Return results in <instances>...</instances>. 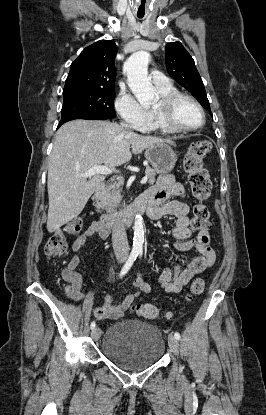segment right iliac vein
I'll use <instances>...</instances> for the list:
<instances>
[{"label": "right iliac vein", "mask_w": 266, "mask_h": 415, "mask_svg": "<svg viewBox=\"0 0 266 415\" xmlns=\"http://www.w3.org/2000/svg\"><path fill=\"white\" fill-rule=\"evenodd\" d=\"M91 336H92V338L95 341H97L100 338V336H101V330H100V328H98V327L94 328L92 330Z\"/></svg>", "instance_id": "obj_1"}]
</instances>
